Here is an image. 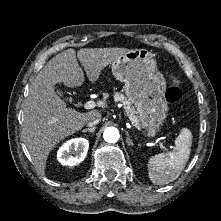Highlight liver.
I'll return each mask as SVG.
<instances>
[{
    "instance_id": "liver-1",
    "label": "liver",
    "mask_w": 221,
    "mask_h": 221,
    "mask_svg": "<svg viewBox=\"0 0 221 221\" xmlns=\"http://www.w3.org/2000/svg\"><path fill=\"white\" fill-rule=\"evenodd\" d=\"M127 48H72L54 56L38 73L30 85L24 105L23 137L31 158L40 172L45 174L46 162L51 150L61 140L81 130L84 125L101 113L97 110L81 113L67 108L66 103L55 93L54 86L63 83L74 88L84 83V72L94 83L102 70Z\"/></svg>"
}]
</instances>
